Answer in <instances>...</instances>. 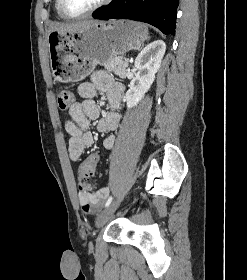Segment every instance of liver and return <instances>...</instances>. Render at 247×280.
I'll return each mask as SVG.
<instances>
[{"instance_id":"liver-1","label":"liver","mask_w":247,"mask_h":280,"mask_svg":"<svg viewBox=\"0 0 247 280\" xmlns=\"http://www.w3.org/2000/svg\"><path fill=\"white\" fill-rule=\"evenodd\" d=\"M98 23L95 20H87V21H78L72 23H55L51 25L49 32L57 31L60 33H67V32H77L82 31L94 24Z\"/></svg>"}]
</instances>
